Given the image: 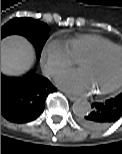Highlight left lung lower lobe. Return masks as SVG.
<instances>
[{
	"mask_svg": "<svg viewBox=\"0 0 122 154\" xmlns=\"http://www.w3.org/2000/svg\"><path fill=\"white\" fill-rule=\"evenodd\" d=\"M122 116V93L105 102L94 103L92 111L80 117V124L90 130H103Z\"/></svg>",
	"mask_w": 122,
	"mask_h": 154,
	"instance_id": "left-lung-lower-lobe-1",
	"label": "left lung lower lobe"
}]
</instances>
